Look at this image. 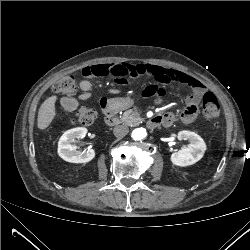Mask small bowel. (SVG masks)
Masks as SVG:
<instances>
[{"instance_id": "c3829d8e", "label": "small bowel", "mask_w": 250, "mask_h": 250, "mask_svg": "<svg viewBox=\"0 0 250 250\" xmlns=\"http://www.w3.org/2000/svg\"><path fill=\"white\" fill-rule=\"evenodd\" d=\"M147 71L152 73L154 76L160 77L159 84L161 85H169L175 86L177 88L183 87L185 85H189L191 87V92L195 101L188 104L186 109L182 114V118L189 122L193 127L196 126V118L199 115V103L198 101L201 100L205 94H207L203 88V86L194 79L178 72H171L169 70H164L157 66H147L145 67ZM163 92L161 90L158 91V101H161V97ZM174 105H181L185 104L186 101L182 99H174L172 101ZM165 128L169 129L173 126L174 123V116L172 114H166L164 116H159Z\"/></svg>"}]
</instances>
